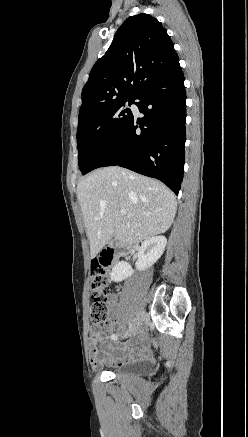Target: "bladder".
<instances>
[{"mask_svg":"<svg viewBox=\"0 0 248 437\" xmlns=\"http://www.w3.org/2000/svg\"><path fill=\"white\" fill-rule=\"evenodd\" d=\"M115 375L119 376H146L149 372V367L145 363H132L124 366H117L111 370Z\"/></svg>","mask_w":248,"mask_h":437,"instance_id":"obj_1","label":"bladder"}]
</instances>
